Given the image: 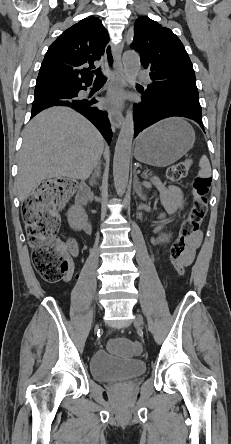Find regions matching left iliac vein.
<instances>
[{"label": "left iliac vein", "instance_id": "left-iliac-vein-1", "mask_svg": "<svg viewBox=\"0 0 231 444\" xmlns=\"http://www.w3.org/2000/svg\"><path fill=\"white\" fill-rule=\"evenodd\" d=\"M134 322H135V325H137L140 328H143L144 324H143L142 317L140 315H136Z\"/></svg>", "mask_w": 231, "mask_h": 444}]
</instances>
